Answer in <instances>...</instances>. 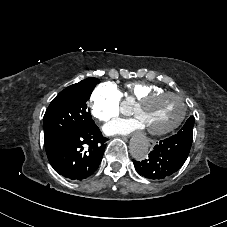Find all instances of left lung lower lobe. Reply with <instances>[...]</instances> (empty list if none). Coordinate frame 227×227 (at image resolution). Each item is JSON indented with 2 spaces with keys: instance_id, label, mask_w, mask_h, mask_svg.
Here are the masks:
<instances>
[{
  "instance_id": "0a47b994",
  "label": "left lung lower lobe",
  "mask_w": 227,
  "mask_h": 227,
  "mask_svg": "<svg viewBox=\"0 0 227 227\" xmlns=\"http://www.w3.org/2000/svg\"><path fill=\"white\" fill-rule=\"evenodd\" d=\"M192 137L173 135L163 141L149 153L148 159L143 161L133 160L137 172L149 179H163L176 171L186 161Z\"/></svg>"
}]
</instances>
